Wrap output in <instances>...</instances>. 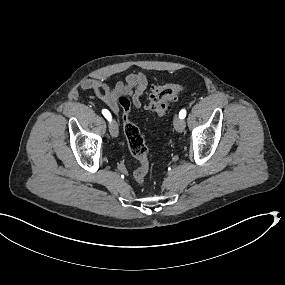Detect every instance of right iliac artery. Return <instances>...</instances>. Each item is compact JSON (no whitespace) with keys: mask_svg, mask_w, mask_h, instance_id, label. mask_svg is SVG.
Listing matches in <instances>:
<instances>
[{"mask_svg":"<svg viewBox=\"0 0 285 285\" xmlns=\"http://www.w3.org/2000/svg\"><path fill=\"white\" fill-rule=\"evenodd\" d=\"M102 114L104 115V117L106 118V119H108L109 121H111V114H110V112L107 110V109H103L102 110Z\"/></svg>","mask_w":285,"mask_h":285,"instance_id":"right-iliac-artery-1","label":"right iliac artery"}]
</instances>
